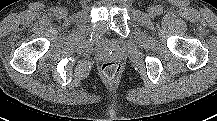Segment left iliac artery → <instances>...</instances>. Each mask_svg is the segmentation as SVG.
I'll use <instances>...</instances> for the list:
<instances>
[{"mask_svg":"<svg viewBox=\"0 0 217 121\" xmlns=\"http://www.w3.org/2000/svg\"><path fill=\"white\" fill-rule=\"evenodd\" d=\"M157 14H161L163 12V9L161 6H157Z\"/></svg>","mask_w":217,"mask_h":121,"instance_id":"obj_1","label":"left iliac artery"}]
</instances>
